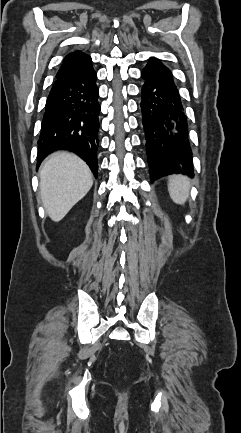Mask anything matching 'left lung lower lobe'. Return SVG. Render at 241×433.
<instances>
[{
    "label": "left lung lower lobe",
    "instance_id": "1",
    "mask_svg": "<svg viewBox=\"0 0 241 433\" xmlns=\"http://www.w3.org/2000/svg\"><path fill=\"white\" fill-rule=\"evenodd\" d=\"M141 77L142 128L151 180L173 173L193 176L187 116L171 71L163 64H149Z\"/></svg>",
    "mask_w": 241,
    "mask_h": 433
}]
</instances>
